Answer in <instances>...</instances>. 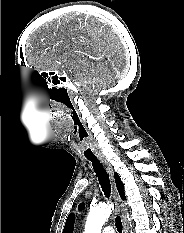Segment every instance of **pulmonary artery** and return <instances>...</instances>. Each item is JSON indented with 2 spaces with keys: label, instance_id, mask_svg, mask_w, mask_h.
Returning a JSON list of instances; mask_svg holds the SVG:
<instances>
[{
  "label": "pulmonary artery",
  "instance_id": "pulmonary-artery-1",
  "mask_svg": "<svg viewBox=\"0 0 184 233\" xmlns=\"http://www.w3.org/2000/svg\"><path fill=\"white\" fill-rule=\"evenodd\" d=\"M102 233H115V230L111 226L103 228Z\"/></svg>",
  "mask_w": 184,
  "mask_h": 233
}]
</instances>
